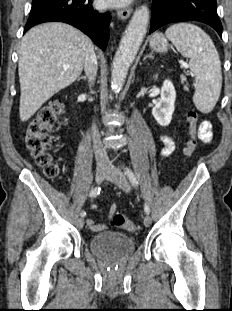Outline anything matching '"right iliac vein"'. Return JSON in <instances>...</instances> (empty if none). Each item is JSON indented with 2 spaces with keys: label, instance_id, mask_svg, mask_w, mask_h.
<instances>
[{
  "label": "right iliac vein",
  "instance_id": "1",
  "mask_svg": "<svg viewBox=\"0 0 232 311\" xmlns=\"http://www.w3.org/2000/svg\"><path fill=\"white\" fill-rule=\"evenodd\" d=\"M109 169L107 167H99L96 170V182L100 184L108 174ZM78 227L82 228L84 225V219L79 218L77 221Z\"/></svg>",
  "mask_w": 232,
  "mask_h": 311
}]
</instances>
